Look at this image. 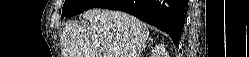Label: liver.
Instances as JSON below:
<instances>
[{"label": "liver", "instance_id": "obj_1", "mask_svg": "<svg viewBox=\"0 0 249 57\" xmlns=\"http://www.w3.org/2000/svg\"><path fill=\"white\" fill-rule=\"evenodd\" d=\"M83 17L90 26L63 28V57H140L149 40L147 24L125 12L90 9Z\"/></svg>", "mask_w": 249, "mask_h": 57}]
</instances>
